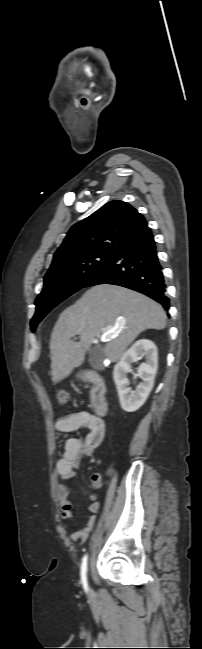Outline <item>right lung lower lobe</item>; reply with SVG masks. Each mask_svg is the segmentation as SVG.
Segmentation results:
<instances>
[{
	"label": "right lung lower lobe",
	"mask_w": 202,
	"mask_h": 649,
	"mask_svg": "<svg viewBox=\"0 0 202 649\" xmlns=\"http://www.w3.org/2000/svg\"><path fill=\"white\" fill-rule=\"evenodd\" d=\"M98 284H114L138 291L169 309L166 284L151 230L119 249L84 287Z\"/></svg>",
	"instance_id": "1"
}]
</instances>
